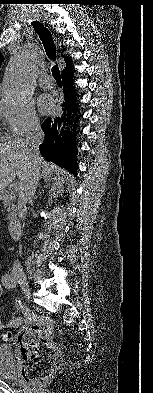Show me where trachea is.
Masks as SVG:
<instances>
[{
    "instance_id": "trachea-1",
    "label": "trachea",
    "mask_w": 153,
    "mask_h": 393,
    "mask_svg": "<svg viewBox=\"0 0 153 393\" xmlns=\"http://www.w3.org/2000/svg\"><path fill=\"white\" fill-rule=\"evenodd\" d=\"M32 25H33L35 32L38 34V36L44 46L47 56L51 60H54L56 57L57 49H56L51 32L42 23H40L38 21L32 22ZM52 75L57 83H59V84L62 83L61 74H60V70L58 68V65L53 66Z\"/></svg>"
}]
</instances>
